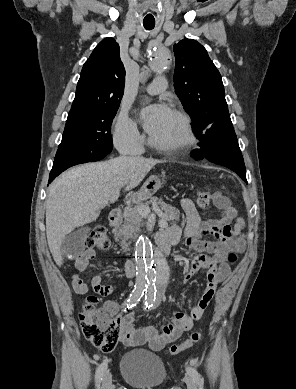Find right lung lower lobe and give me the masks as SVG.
Segmentation results:
<instances>
[{
  "instance_id": "98d812e1",
  "label": "right lung lower lobe",
  "mask_w": 296,
  "mask_h": 389,
  "mask_svg": "<svg viewBox=\"0 0 296 389\" xmlns=\"http://www.w3.org/2000/svg\"><path fill=\"white\" fill-rule=\"evenodd\" d=\"M65 169H54L52 168L50 176H49V183H51L56 176H58L61 172H63Z\"/></svg>"
}]
</instances>
